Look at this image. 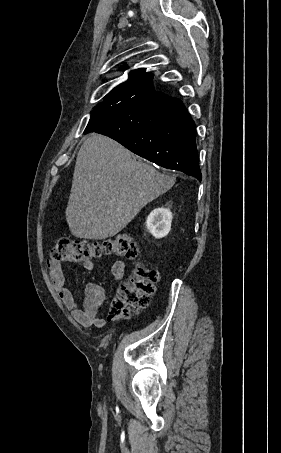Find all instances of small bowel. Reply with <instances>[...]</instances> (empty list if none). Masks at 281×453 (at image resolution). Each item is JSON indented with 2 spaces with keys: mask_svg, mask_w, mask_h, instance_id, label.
Wrapping results in <instances>:
<instances>
[{
  "mask_svg": "<svg viewBox=\"0 0 281 453\" xmlns=\"http://www.w3.org/2000/svg\"><path fill=\"white\" fill-rule=\"evenodd\" d=\"M86 267L90 270L95 268L93 261H88ZM48 270L55 289L66 306L72 311L73 316L83 327L94 325L97 328L105 326L106 321L101 313L106 298V289L99 283L90 282L84 287V300L82 307L78 306L72 292L66 286L65 277L58 259H50ZM126 263L123 260H116L113 267L115 280L124 279Z\"/></svg>",
  "mask_w": 281,
  "mask_h": 453,
  "instance_id": "obj_1",
  "label": "small bowel"
}]
</instances>
